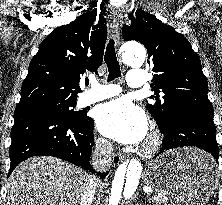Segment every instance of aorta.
I'll list each match as a JSON object with an SVG mask.
<instances>
[{
  "label": "aorta",
  "mask_w": 222,
  "mask_h": 205,
  "mask_svg": "<svg viewBox=\"0 0 222 205\" xmlns=\"http://www.w3.org/2000/svg\"><path fill=\"white\" fill-rule=\"evenodd\" d=\"M146 57L145 48L139 43H127L123 47L122 60L130 66L142 64ZM143 165L138 159L127 160L116 170L109 194V205H120L137 192Z\"/></svg>",
  "instance_id": "1"
}]
</instances>
